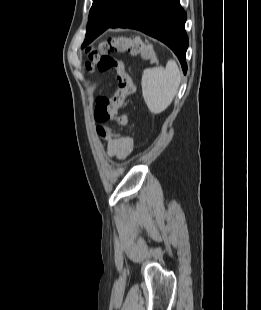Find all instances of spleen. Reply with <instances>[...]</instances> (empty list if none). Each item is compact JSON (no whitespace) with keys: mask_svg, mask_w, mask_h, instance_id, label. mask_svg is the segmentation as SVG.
Wrapping results in <instances>:
<instances>
[{"mask_svg":"<svg viewBox=\"0 0 261 310\" xmlns=\"http://www.w3.org/2000/svg\"><path fill=\"white\" fill-rule=\"evenodd\" d=\"M181 81V72L174 60L168 61L165 68L154 67L143 71L142 95L148 109L160 114L173 101Z\"/></svg>","mask_w":261,"mask_h":310,"instance_id":"1","label":"spleen"}]
</instances>
